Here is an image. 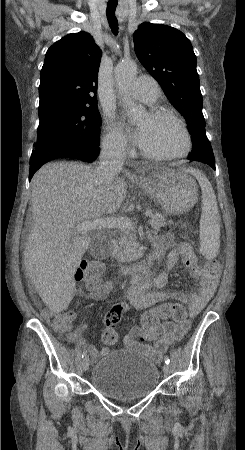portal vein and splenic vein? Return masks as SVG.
I'll return each instance as SVG.
<instances>
[{"label":"portal vein and splenic vein","instance_id":"1","mask_svg":"<svg viewBox=\"0 0 245 450\" xmlns=\"http://www.w3.org/2000/svg\"><path fill=\"white\" fill-rule=\"evenodd\" d=\"M152 211H146V217H152ZM132 227V222L129 218L118 217V218H98L91 221L82 222L77 224L73 228L74 233H84L90 230H100L104 228H116V229H127Z\"/></svg>","mask_w":245,"mask_h":450}]
</instances>
